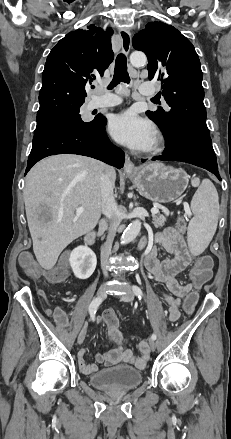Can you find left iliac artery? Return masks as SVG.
<instances>
[{
	"label": "left iliac artery",
	"mask_w": 231,
	"mask_h": 439,
	"mask_svg": "<svg viewBox=\"0 0 231 439\" xmlns=\"http://www.w3.org/2000/svg\"><path fill=\"white\" fill-rule=\"evenodd\" d=\"M132 289H133L134 294H135L139 299H141L142 296H143V292H142V290L140 289V287H138L137 285H133ZM151 339H152V340H156V334L153 333V334L151 335Z\"/></svg>",
	"instance_id": "44dca946"
}]
</instances>
